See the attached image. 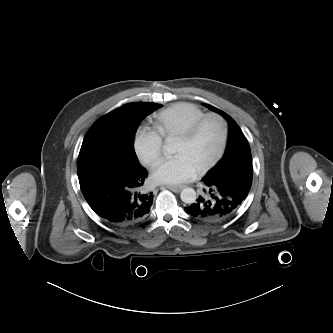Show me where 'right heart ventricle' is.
Masks as SVG:
<instances>
[{
  "instance_id": "1",
  "label": "right heart ventricle",
  "mask_w": 333,
  "mask_h": 333,
  "mask_svg": "<svg viewBox=\"0 0 333 333\" xmlns=\"http://www.w3.org/2000/svg\"><path fill=\"white\" fill-rule=\"evenodd\" d=\"M205 112L191 103L169 106L154 116L153 127L161 137L178 136Z\"/></svg>"
}]
</instances>
